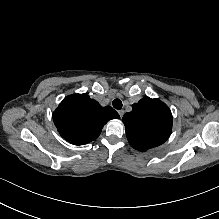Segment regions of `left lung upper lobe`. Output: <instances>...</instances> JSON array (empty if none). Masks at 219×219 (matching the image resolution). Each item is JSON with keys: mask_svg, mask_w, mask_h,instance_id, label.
I'll use <instances>...</instances> for the list:
<instances>
[{"mask_svg": "<svg viewBox=\"0 0 219 219\" xmlns=\"http://www.w3.org/2000/svg\"><path fill=\"white\" fill-rule=\"evenodd\" d=\"M122 121L128 142L142 152L163 144L172 131V113L157 98H142L133 104L131 112L125 113Z\"/></svg>", "mask_w": 219, "mask_h": 219, "instance_id": "left-lung-upper-lobe-1", "label": "left lung upper lobe"}]
</instances>
